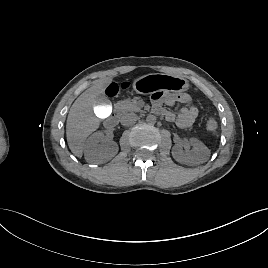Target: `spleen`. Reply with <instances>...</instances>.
I'll return each mask as SVG.
<instances>
[{"instance_id": "1", "label": "spleen", "mask_w": 268, "mask_h": 268, "mask_svg": "<svg viewBox=\"0 0 268 268\" xmlns=\"http://www.w3.org/2000/svg\"><path fill=\"white\" fill-rule=\"evenodd\" d=\"M207 130L212 132V133H216V130L218 128V124H217V121L215 120V118L213 117H210L207 121Z\"/></svg>"}]
</instances>
